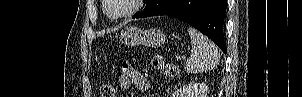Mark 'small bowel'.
<instances>
[{
  "mask_svg": "<svg viewBox=\"0 0 302 97\" xmlns=\"http://www.w3.org/2000/svg\"><path fill=\"white\" fill-rule=\"evenodd\" d=\"M120 85L125 90L135 85L140 91H147L150 87L148 79L128 63L121 66Z\"/></svg>",
  "mask_w": 302,
  "mask_h": 97,
  "instance_id": "small-bowel-1",
  "label": "small bowel"
}]
</instances>
